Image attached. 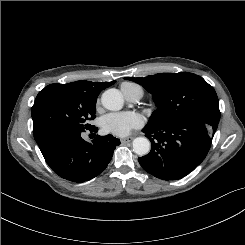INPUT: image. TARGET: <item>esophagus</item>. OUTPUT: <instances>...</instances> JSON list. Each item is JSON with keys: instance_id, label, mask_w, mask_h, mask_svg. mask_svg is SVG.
<instances>
[{"instance_id": "34e87169", "label": "esophagus", "mask_w": 245, "mask_h": 245, "mask_svg": "<svg viewBox=\"0 0 245 245\" xmlns=\"http://www.w3.org/2000/svg\"><path fill=\"white\" fill-rule=\"evenodd\" d=\"M133 139L132 136H128V137H123L120 139L121 143H127L130 142Z\"/></svg>"}]
</instances>
